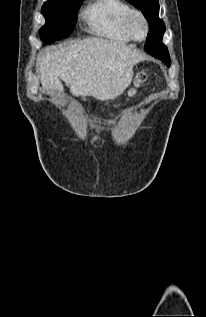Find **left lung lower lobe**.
Returning <instances> with one entry per match:
<instances>
[{
    "instance_id": "1",
    "label": "left lung lower lobe",
    "mask_w": 206,
    "mask_h": 317,
    "mask_svg": "<svg viewBox=\"0 0 206 317\" xmlns=\"http://www.w3.org/2000/svg\"><path fill=\"white\" fill-rule=\"evenodd\" d=\"M146 48L148 50V53L158 59L163 58V51H168L167 47L161 42V41H155L153 44H147ZM161 60V59H160Z\"/></svg>"
}]
</instances>
